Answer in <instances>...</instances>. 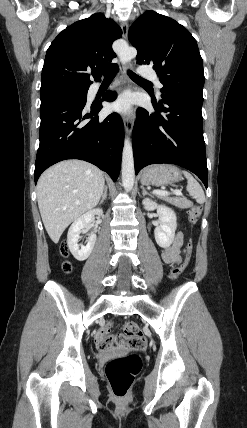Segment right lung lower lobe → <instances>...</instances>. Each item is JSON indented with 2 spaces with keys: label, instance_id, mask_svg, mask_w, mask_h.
<instances>
[{
  "label": "right lung lower lobe",
  "instance_id": "98d812e1",
  "mask_svg": "<svg viewBox=\"0 0 247 428\" xmlns=\"http://www.w3.org/2000/svg\"><path fill=\"white\" fill-rule=\"evenodd\" d=\"M116 94L106 93L103 100L112 102ZM101 101L90 107L86 101L54 100L40 106V145L34 179L51 165L65 159L88 161L107 172L116 181L120 172L124 128L117 113L99 120Z\"/></svg>",
  "mask_w": 247,
  "mask_h": 428
}]
</instances>
